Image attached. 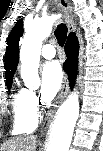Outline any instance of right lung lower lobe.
I'll use <instances>...</instances> for the list:
<instances>
[{"label": "right lung lower lobe", "mask_w": 103, "mask_h": 151, "mask_svg": "<svg viewBox=\"0 0 103 151\" xmlns=\"http://www.w3.org/2000/svg\"><path fill=\"white\" fill-rule=\"evenodd\" d=\"M79 44L76 37H71L65 46V53L67 55V61L63 68L69 75V81L72 85L75 81L77 70V57H78Z\"/></svg>", "instance_id": "98d812e1"}]
</instances>
